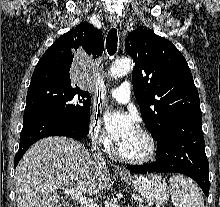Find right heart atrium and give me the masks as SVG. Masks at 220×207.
I'll use <instances>...</instances> for the list:
<instances>
[{"mask_svg":"<svg viewBox=\"0 0 220 207\" xmlns=\"http://www.w3.org/2000/svg\"><path fill=\"white\" fill-rule=\"evenodd\" d=\"M89 137L92 144L103 150L109 151L112 148V140L104 131L99 118L94 115L91 117L88 128Z\"/></svg>","mask_w":220,"mask_h":207,"instance_id":"1","label":"right heart atrium"}]
</instances>
